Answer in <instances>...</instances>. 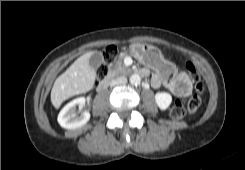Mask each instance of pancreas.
<instances>
[{
    "label": "pancreas",
    "instance_id": "cf45deb5",
    "mask_svg": "<svg viewBox=\"0 0 245 170\" xmlns=\"http://www.w3.org/2000/svg\"><path fill=\"white\" fill-rule=\"evenodd\" d=\"M127 56V53H122L119 55L116 63L109 68V73L107 75L108 79H112L115 76L125 75L128 72V67L123 64V59Z\"/></svg>",
    "mask_w": 245,
    "mask_h": 170
}]
</instances>
